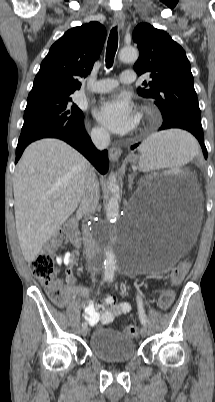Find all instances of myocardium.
<instances>
[{
    "mask_svg": "<svg viewBox=\"0 0 215 402\" xmlns=\"http://www.w3.org/2000/svg\"><path fill=\"white\" fill-rule=\"evenodd\" d=\"M154 110L151 107L144 106L140 109L138 113V118L140 121H147L154 116Z\"/></svg>",
    "mask_w": 215,
    "mask_h": 402,
    "instance_id": "f54148a6",
    "label": "myocardium"
}]
</instances>
